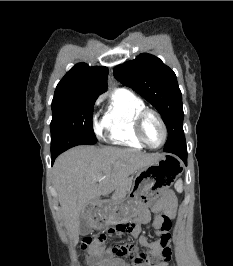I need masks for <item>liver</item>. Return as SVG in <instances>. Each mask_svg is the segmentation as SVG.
Here are the masks:
<instances>
[{
    "instance_id": "obj_1",
    "label": "liver",
    "mask_w": 233,
    "mask_h": 266,
    "mask_svg": "<svg viewBox=\"0 0 233 266\" xmlns=\"http://www.w3.org/2000/svg\"><path fill=\"white\" fill-rule=\"evenodd\" d=\"M160 158L156 153L109 146H77L61 154L53 169L55 187L66 227L75 242L81 216L96 227L94 218L85 214L88 203L119 189L131 174Z\"/></svg>"
}]
</instances>
